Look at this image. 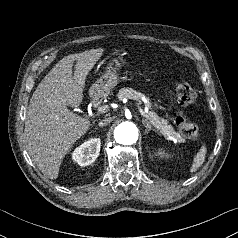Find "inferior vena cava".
Wrapping results in <instances>:
<instances>
[{"instance_id":"1","label":"inferior vena cava","mask_w":238,"mask_h":238,"mask_svg":"<svg viewBox=\"0 0 238 238\" xmlns=\"http://www.w3.org/2000/svg\"><path fill=\"white\" fill-rule=\"evenodd\" d=\"M111 118L109 117V118H105L104 120H102V121H100L99 122V126H105V125H107L108 123H110L111 122Z\"/></svg>"}]
</instances>
